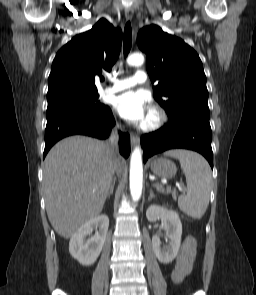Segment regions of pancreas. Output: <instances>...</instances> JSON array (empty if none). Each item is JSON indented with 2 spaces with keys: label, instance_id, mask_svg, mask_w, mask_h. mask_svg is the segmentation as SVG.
Returning <instances> with one entry per match:
<instances>
[{
  "label": "pancreas",
  "instance_id": "cf45deb5",
  "mask_svg": "<svg viewBox=\"0 0 256 295\" xmlns=\"http://www.w3.org/2000/svg\"><path fill=\"white\" fill-rule=\"evenodd\" d=\"M155 187H156V189L159 191V192H162V193H170L171 192V190L168 188L166 191L163 189V187L161 186V185H159V184H156L155 185ZM172 196H173V198L174 199H176V191H173L172 192Z\"/></svg>",
  "mask_w": 256,
  "mask_h": 295
}]
</instances>
